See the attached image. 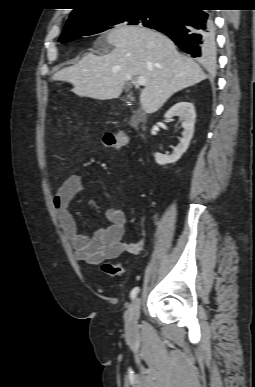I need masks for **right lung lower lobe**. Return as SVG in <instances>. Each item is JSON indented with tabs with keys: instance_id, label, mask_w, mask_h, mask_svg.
Returning a JSON list of instances; mask_svg holds the SVG:
<instances>
[{
	"instance_id": "obj_1",
	"label": "right lung lower lobe",
	"mask_w": 255,
	"mask_h": 387,
	"mask_svg": "<svg viewBox=\"0 0 255 387\" xmlns=\"http://www.w3.org/2000/svg\"><path fill=\"white\" fill-rule=\"evenodd\" d=\"M202 3L180 5L168 10L163 25L153 28L169 36L184 52L210 65L216 59L215 28L210 11Z\"/></svg>"
}]
</instances>
